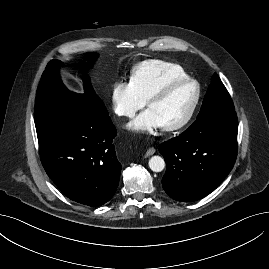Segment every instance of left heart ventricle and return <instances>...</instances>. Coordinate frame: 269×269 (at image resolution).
<instances>
[{"instance_id": "b2bd125f", "label": "left heart ventricle", "mask_w": 269, "mask_h": 269, "mask_svg": "<svg viewBox=\"0 0 269 269\" xmlns=\"http://www.w3.org/2000/svg\"><path fill=\"white\" fill-rule=\"evenodd\" d=\"M195 95V86L187 84L172 90L165 98L152 103L148 109L161 121L162 126L179 122L187 113Z\"/></svg>"}]
</instances>
